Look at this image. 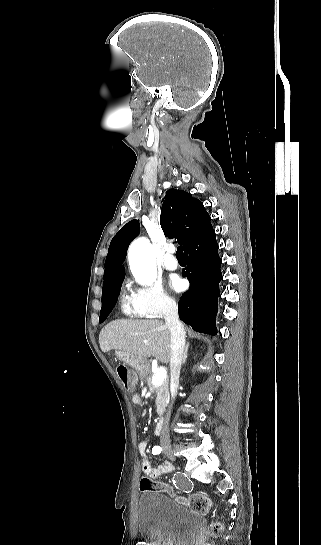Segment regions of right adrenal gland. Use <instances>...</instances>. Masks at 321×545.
Returning <instances> with one entry per match:
<instances>
[{
	"instance_id": "2a0ac1e0",
	"label": "right adrenal gland",
	"mask_w": 321,
	"mask_h": 545,
	"mask_svg": "<svg viewBox=\"0 0 321 545\" xmlns=\"http://www.w3.org/2000/svg\"><path fill=\"white\" fill-rule=\"evenodd\" d=\"M189 345H190V343H187V345H186V347H185V349H184V357H183V359H182V365H185V363H186Z\"/></svg>"
}]
</instances>
